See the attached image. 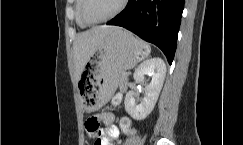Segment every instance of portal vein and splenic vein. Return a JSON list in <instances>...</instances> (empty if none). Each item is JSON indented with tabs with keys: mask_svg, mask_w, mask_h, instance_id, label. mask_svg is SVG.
Wrapping results in <instances>:
<instances>
[{
	"mask_svg": "<svg viewBox=\"0 0 243 145\" xmlns=\"http://www.w3.org/2000/svg\"><path fill=\"white\" fill-rule=\"evenodd\" d=\"M124 75H125V76H127V75H128V73H124Z\"/></svg>",
	"mask_w": 243,
	"mask_h": 145,
	"instance_id": "obj_1",
	"label": "portal vein and splenic vein"
}]
</instances>
